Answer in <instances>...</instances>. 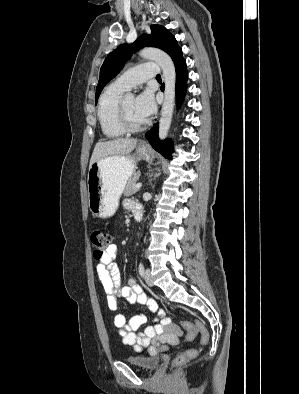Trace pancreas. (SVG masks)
Masks as SVG:
<instances>
[{
	"mask_svg": "<svg viewBox=\"0 0 299 394\" xmlns=\"http://www.w3.org/2000/svg\"><path fill=\"white\" fill-rule=\"evenodd\" d=\"M139 176L140 172H137L127 181L126 187L124 189V196H131L138 191V189H136V183L139 179Z\"/></svg>",
	"mask_w": 299,
	"mask_h": 394,
	"instance_id": "obj_1",
	"label": "pancreas"
}]
</instances>
